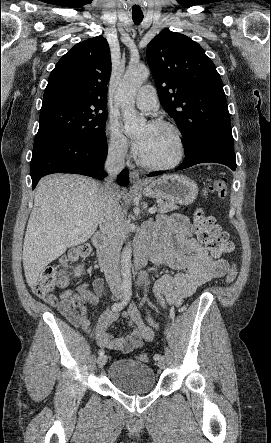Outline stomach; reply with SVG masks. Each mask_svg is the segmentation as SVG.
Instances as JSON below:
<instances>
[{"label":"stomach","instance_id":"stomach-1","mask_svg":"<svg viewBox=\"0 0 271 443\" xmlns=\"http://www.w3.org/2000/svg\"><path fill=\"white\" fill-rule=\"evenodd\" d=\"M144 186L140 188L144 196L148 198H161L169 200L180 206H189L195 202L198 196V186L187 178V176H162L153 182H143Z\"/></svg>","mask_w":271,"mask_h":443}]
</instances>
